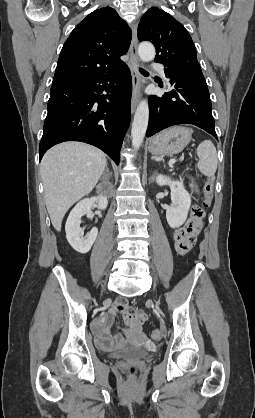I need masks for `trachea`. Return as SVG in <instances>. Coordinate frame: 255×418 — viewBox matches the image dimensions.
Wrapping results in <instances>:
<instances>
[{
    "label": "trachea",
    "mask_w": 255,
    "mask_h": 418,
    "mask_svg": "<svg viewBox=\"0 0 255 418\" xmlns=\"http://www.w3.org/2000/svg\"><path fill=\"white\" fill-rule=\"evenodd\" d=\"M140 72L142 73V74H144V75H147V74H149L147 71H145L144 69H140Z\"/></svg>",
    "instance_id": "3493384b"
}]
</instances>
